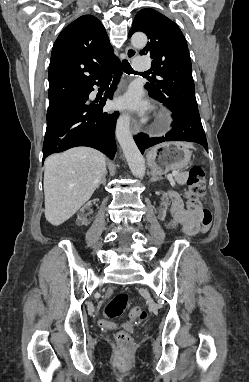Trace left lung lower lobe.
Wrapping results in <instances>:
<instances>
[{"mask_svg":"<svg viewBox=\"0 0 249 382\" xmlns=\"http://www.w3.org/2000/svg\"><path fill=\"white\" fill-rule=\"evenodd\" d=\"M170 110L173 112V127L165 136L149 138L146 134H138L134 137L141 153L143 154L146 148L165 141L196 142L201 144L208 151L207 140L202 127L199 112L192 109Z\"/></svg>","mask_w":249,"mask_h":382,"instance_id":"0a47b994","label":"left lung lower lobe"}]
</instances>
